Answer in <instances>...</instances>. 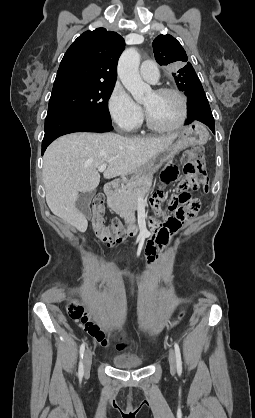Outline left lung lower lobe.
Listing matches in <instances>:
<instances>
[{"label": "left lung lower lobe", "mask_w": 255, "mask_h": 418, "mask_svg": "<svg viewBox=\"0 0 255 418\" xmlns=\"http://www.w3.org/2000/svg\"><path fill=\"white\" fill-rule=\"evenodd\" d=\"M187 116L185 125L197 120L206 124L215 134L214 118L204 93L188 97Z\"/></svg>", "instance_id": "left-lung-lower-lobe-1"}]
</instances>
